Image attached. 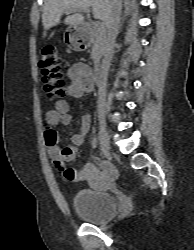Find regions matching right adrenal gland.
Here are the masks:
<instances>
[{"mask_svg": "<svg viewBox=\"0 0 194 250\" xmlns=\"http://www.w3.org/2000/svg\"><path fill=\"white\" fill-rule=\"evenodd\" d=\"M123 22H124V19H123V21H122V23H121V26H122Z\"/></svg>", "mask_w": 194, "mask_h": 250, "instance_id": "1", "label": "right adrenal gland"}]
</instances>
